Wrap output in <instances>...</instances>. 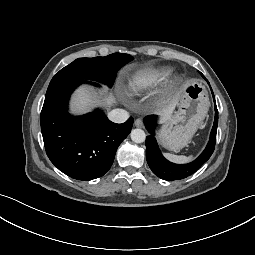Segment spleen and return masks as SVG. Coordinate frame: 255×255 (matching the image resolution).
I'll use <instances>...</instances> for the list:
<instances>
[{
	"label": "spleen",
	"instance_id": "spleen-1",
	"mask_svg": "<svg viewBox=\"0 0 255 255\" xmlns=\"http://www.w3.org/2000/svg\"><path fill=\"white\" fill-rule=\"evenodd\" d=\"M164 156L171 162L174 163H187L189 161L192 160L193 156H184V155H174V154H170V153H164Z\"/></svg>",
	"mask_w": 255,
	"mask_h": 255
}]
</instances>
